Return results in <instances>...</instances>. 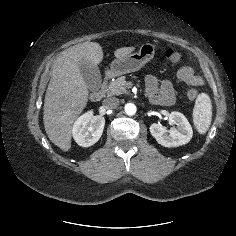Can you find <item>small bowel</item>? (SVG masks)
<instances>
[{
	"instance_id": "obj_1",
	"label": "small bowel",
	"mask_w": 236,
	"mask_h": 236,
	"mask_svg": "<svg viewBox=\"0 0 236 236\" xmlns=\"http://www.w3.org/2000/svg\"><path fill=\"white\" fill-rule=\"evenodd\" d=\"M177 76L182 82L200 86L202 79L189 66L181 67L178 70ZM146 91L151 102L158 105L170 106L175 101L174 89L171 83L164 80H159L153 75H147L145 78Z\"/></svg>"
}]
</instances>
